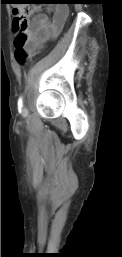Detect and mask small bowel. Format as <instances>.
Listing matches in <instances>:
<instances>
[{"instance_id":"1","label":"small bowel","mask_w":122,"mask_h":257,"mask_svg":"<svg viewBox=\"0 0 122 257\" xmlns=\"http://www.w3.org/2000/svg\"><path fill=\"white\" fill-rule=\"evenodd\" d=\"M68 9L64 6H57L53 9L52 19L44 13L35 14L28 24L26 31V40L24 49L28 54L45 44L46 42L56 38L66 21Z\"/></svg>"}]
</instances>
